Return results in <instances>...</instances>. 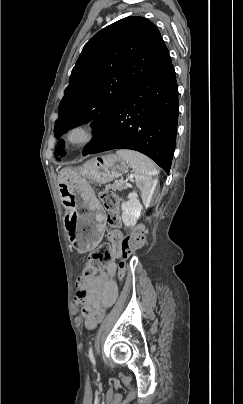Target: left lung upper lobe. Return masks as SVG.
Here are the masks:
<instances>
[{"instance_id":"obj_1","label":"left lung upper lobe","mask_w":243,"mask_h":404,"mask_svg":"<svg viewBox=\"0 0 243 404\" xmlns=\"http://www.w3.org/2000/svg\"><path fill=\"white\" fill-rule=\"evenodd\" d=\"M169 57L158 28L148 19H121L95 34L84 46L59 104L54 134L91 122L93 133L143 79ZM63 141L55 155L64 156Z\"/></svg>"}]
</instances>
